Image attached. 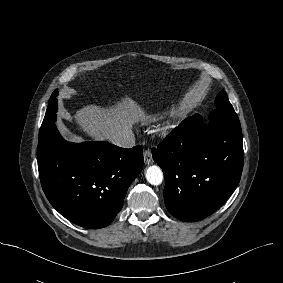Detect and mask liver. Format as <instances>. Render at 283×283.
Returning a JSON list of instances; mask_svg holds the SVG:
<instances>
[{"mask_svg":"<svg viewBox=\"0 0 283 283\" xmlns=\"http://www.w3.org/2000/svg\"><path fill=\"white\" fill-rule=\"evenodd\" d=\"M79 131L94 140H110L124 130L147 119L143 109L130 97L115 106L102 108L95 104L85 105L68 118Z\"/></svg>","mask_w":283,"mask_h":283,"instance_id":"obj_1","label":"liver"}]
</instances>
